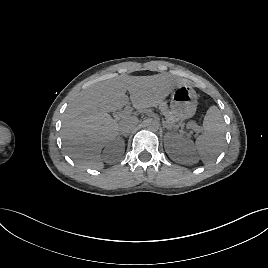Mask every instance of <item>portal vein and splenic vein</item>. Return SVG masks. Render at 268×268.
Segmentation results:
<instances>
[{
  "label": "portal vein and splenic vein",
  "instance_id": "portal-vein-and-splenic-vein-1",
  "mask_svg": "<svg viewBox=\"0 0 268 268\" xmlns=\"http://www.w3.org/2000/svg\"><path fill=\"white\" fill-rule=\"evenodd\" d=\"M130 113H131V112H130L129 110H124V111L122 112L123 115H127V114H130ZM189 127H192V128H194L195 130L199 131V127H198L196 124H194V123H190V124H189Z\"/></svg>",
  "mask_w": 268,
  "mask_h": 268
}]
</instances>
